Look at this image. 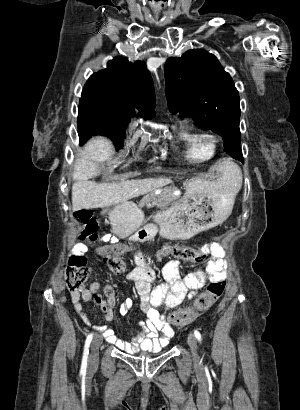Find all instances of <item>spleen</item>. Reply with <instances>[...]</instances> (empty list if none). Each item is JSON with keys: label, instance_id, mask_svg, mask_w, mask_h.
<instances>
[{"label": "spleen", "instance_id": "3e777b00", "mask_svg": "<svg viewBox=\"0 0 300 410\" xmlns=\"http://www.w3.org/2000/svg\"><path fill=\"white\" fill-rule=\"evenodd\" d=\"M220 170L223 174L231 178V185L234 189V195H236L242 186V173L240 168L233 162L226 160L220 166Z\"/></svg>", "mask_w": 300, "mask_h": 410}]
</instances>
